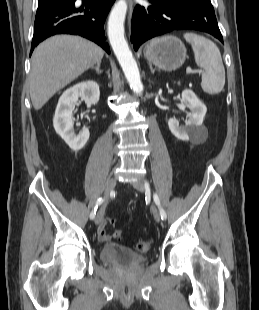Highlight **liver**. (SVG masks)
<instances>
[{"label":"liver","mask_w":259,"mask_h":310,"mask_svg":"<svg viewBox=\"0 0 259 310\" xmlns=\"http://www.w3.org/2000/svg\"><path fill=\"white\" fill-rule=\"evenodd\" d=\"M103 56L101 47L79 36L56 35L42 42L33 52L29 77L34 109H41L57 91L101 62Z\"/></svg>","instance_id":"obj_1"}]
</instances>
